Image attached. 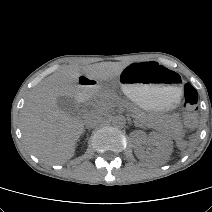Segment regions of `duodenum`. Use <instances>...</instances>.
I'll use <instances>...</instances> for the list:
<instances>
[{"label": "duodenum", "mask_w": 212, "mask_h": 212, "mask_svg": "<svg viewBox=\"0 0 212 212\" xmlns=\"http://www.w3.org/2000/svg\"><path fill=\"white\" fill-rule=\"evenodd\" d=\"M93 83L89 79H85V81H80L79 82V87H80V95L82 96L84 100V105H85V111H89L90 106L92 105L91 102L88 100V95L93 89Z\"/></svg>", "instance_id": "410a0bca"}]
</instances>
